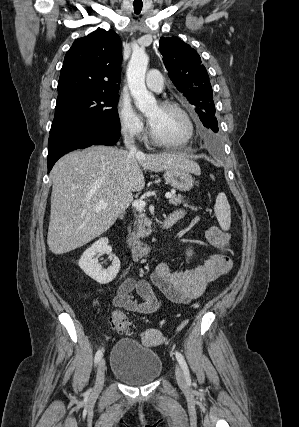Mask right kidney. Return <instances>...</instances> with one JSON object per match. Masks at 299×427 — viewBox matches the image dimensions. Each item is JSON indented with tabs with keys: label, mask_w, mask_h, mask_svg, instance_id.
<instances>
[{
	"label": "right kidney",
	"mask_w": 299,
	"mask_h": 427,
	"mask_svg": "<svg viewBox=\"0 0 299 427\" xmlns=\"http://www.w3.org/2000/svg\"><path fill=\"white\" fill-rule=\"evenodd\" d=\"M112 248L108 245V238H100L93 243L79 259V266L86 275L100 284L111 282L120 270V261L113 258L112 265L107 269H102L98 261V256L103 254L111 255Z\"/></svg>",
	"instance_id": "ca27d5eb"
}]
</instances>
